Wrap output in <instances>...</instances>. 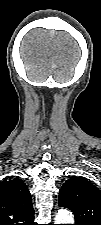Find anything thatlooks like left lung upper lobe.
Here are the masks:
<instances>
[{"label": "left lung upper lobe", "instance_id": "left-lung-upper-lobe-1", "mask_svg": "<svg viewBox=\"0 0 101 225\" xmlns=\"http://www.w3.org/2000/svg\"><path fill=\"white\" fill-rule=\"evenodd\" d=\"M59 206L75 216V225H101V192L81 177L68 179L61 187Z\"/></svg>", "mask_w": 101, "mask_h": 225}]
</instances>
